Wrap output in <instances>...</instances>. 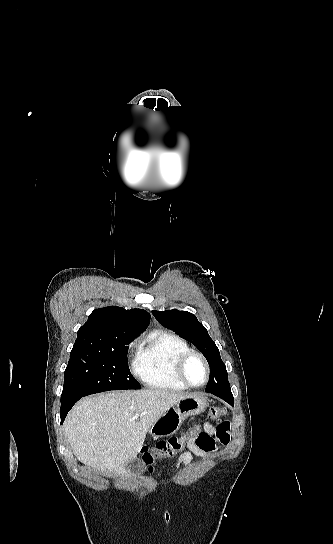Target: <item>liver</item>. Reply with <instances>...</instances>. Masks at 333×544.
<instances>
[{
	"mask_svg": "<svg viewBox=\"0 0 333 544\" xmlns=\"http://www.w3.org/2000/svg\"><path fill=\"white\" fill-rule=\"evenodd\" d=\"M186 393L145 389L108 392L80 400L69 412L64 430L77 459L101 472L127 474L148 429ZM139 414L140 420H132Z\"/></svg>",
	"mask_w": 333,
	"mask_h": 544,
	"instance_id": "6515ba94",
	"label": "liver"
}]
</instances>
